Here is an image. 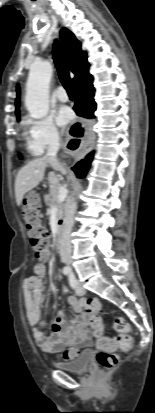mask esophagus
Returning a JSON list of instances; mask_svg holds the SVG:
<instances>
[{
    "label": "esophagus",
    "instance_id": "esophagus-1",
    "mask_svg": "<svg viewBox=\"0 0 155 413\" xmlns=\"http://www.w3.org/2000/svg\"><path fill=\"white\" fill-rule=\"evenodd\" d=\"M92 150V147L87 144V142L83 145V149L80 151V153L77 155L76 159L80 160L82 159L87 153H89Z\"/></svg>",
    "mask_w": 155,
    "mask_h": 413
}]
</instances>
